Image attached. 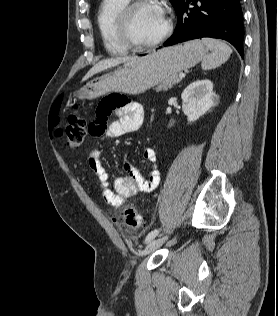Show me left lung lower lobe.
<instances>
[{"mask_svg":"<svg viewBox=\"0 0 278 316\" xmlns=\"http://www.w3.org/2000/svg\"><path fill=\"white\" fill-rule=\"evenodd\" d=\"M176 14L178 25L164 46L212 37L230 42L243 56V13L239 0H182Z\"/></svg>","mask_w":278,"mask_h":316,"instance_id":"left-lung-lower-lobe-1","label":"left lung lower lobe"}]
</instances>
